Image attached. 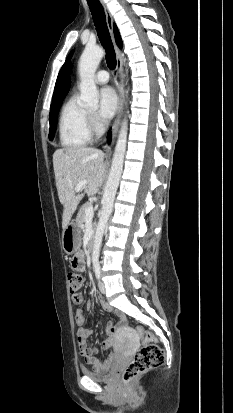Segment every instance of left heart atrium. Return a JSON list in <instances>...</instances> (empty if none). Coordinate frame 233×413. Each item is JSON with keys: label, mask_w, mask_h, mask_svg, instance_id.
I'll use <instances>...</instances> for the list:
<instances>
[{"label": "left heart atrium", "mask_w": 233, "mask_h": 413, "mask_svg": "<svg viewBox=\"0 0 233 413\" xmlns=\"http://www.w3.org/2000/svg\"><path fill=\"white\" fill-rule=\"evenodd\" d=\"M118 109V98L111 87H105L100 92L99 116L102 120L111 119Z\"/></svg>", "instance_id": "39dd6f15"}]
</instances>
